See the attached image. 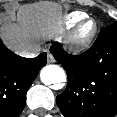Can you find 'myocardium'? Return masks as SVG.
<instances>
[{"label": "myocardium", "instance_id": "obj_1", "mask_svg": "<svg viewBox=\"0 0 117 117\" xmlns=\"http://www.w3.org/2000/svg\"><path fill=\"white\" fill-rule=\"evenodd\" d=\"M98 30L96 21L87 18L81 21L71 32L67 44L73 51L80 52L87 49L93 42Z\"/></svg>", "mask_w": 117, "mask_h": 117}]
</instances>
